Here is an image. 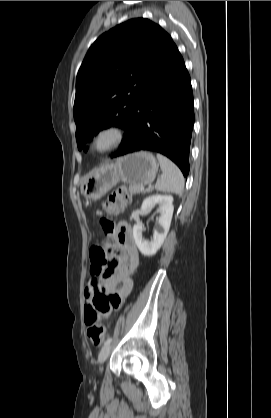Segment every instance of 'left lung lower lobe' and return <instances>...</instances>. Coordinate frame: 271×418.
Listing matches in <instances>:
<instances>
[{
	"label": "left lung lower lobe",
	"mask_w": 271,
	"mask_h": 418,
	"mask_svg": "<svg viewBox=\"0 0 271 418\" xmlns=\"http://www.w3.org/2000/svg\"><path fill=\"white\" fill-rule=\"evenodd\" d=\"M194 124L189 73L174 42L142 91L125 129L121 149L113 156L140 150L161 153L189 173V149Z\"/></svg>",
	"instance_id": "0a47b994"
}]
</instances>
